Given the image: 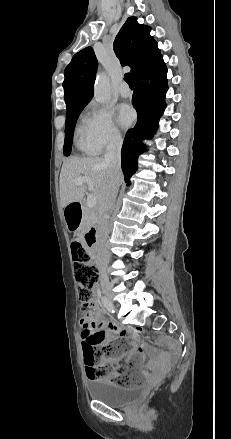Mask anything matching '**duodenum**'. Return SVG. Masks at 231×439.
<instances>
[{"instance_id":"1","label":"duodenum","mask_w":231,"mask_h":439,"mask_svg":"<svg viewBox=\"0 0 231 439\" xmlns=\"http://www.w3.org/2000/svg\"><path fill=\"white\" fill-rule=\"evenodd\" d=\"M81 205H82V202L77 201V202L69 204L67 206L66 210L69 212L70 216H76L80 211ZM96 235H97V233H96L95 229L88 230L84 236L85 245L92 249L96 243Z\"/></svg>"}]
</instances>
